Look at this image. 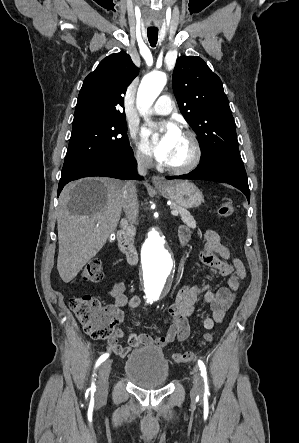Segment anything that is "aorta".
Masks as SVG:
<instances>
[{
	"mask_svg": "<svg viewBox=\"0 0 299 443\" xmlns=\"http://www.w3.org/2000/svg\"><path fill=\"white\" fill-rule=\"evenodd\" d=\"M167 81L163 72L145 76L138 88L137 105L145 115ZM144 292L148 300H158L166 294L168 280L173 268V256L163 233L156 228L148 231L141 255Z\"/></svg>",
	"mask_w": 299,
	"mask_h": 443,
	"instance_id": "762f6f07",
	"label": "aorta"
}]
</instances>
